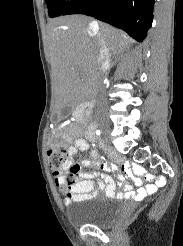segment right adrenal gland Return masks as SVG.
Masks as SVG:
<instances>
[{"label":"right adrenal gland","mask_w":183,"mask_h":246,"mask_svg":"<svg viewBox=\"0 0 183 246\" xmlns=\"http://www.w3.org/2000/svg\"><path fill=\"white\" fill-rule=\"evenodd\" d=\"M117 60H118V55H116L115 58H114V60L112 61L111 67H113V66L116 65Z\"/></svg>","instance_id":"obj_1"}]
</instances>
